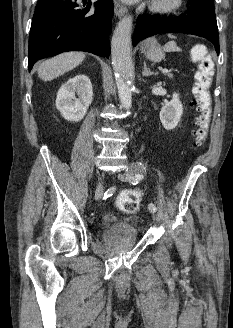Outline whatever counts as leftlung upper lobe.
Listing matches in <instances>:
<instances>
[{"mask_svg": "<svg viewBox=\"0 0 233 328\" xmlns=\"http://www.w3.org/2000/svg\"><path fill=\"white\" fill-rule=\"evenodd\" d=\"M196 3L202 4L204 6H207L211 9H214V3L213 0H194Z\"/></svg>", "mask_w": 233, "mask_h": 328, "instance_id": "5c2ea615", "label": "left lung upper lobe"}]
</instances>
